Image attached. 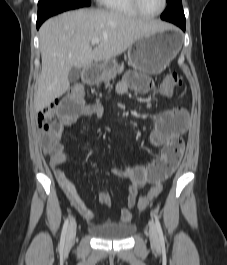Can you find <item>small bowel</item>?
<instances>
[{
    "instance_id": "small-bowel-1",
    "label": "small bowel",
    "mask_w": 227,
    "mask_h": 265,
    "mask_svg": "<svg viewBox=\"0 0 227 265\" xmlns=\"http://www.w3.org/2000/svg\"><path fill=\"white\" fill-rule=\"evenodd\" d=\"M145 72H128L117 84L116 92L120 95L129 90L138 93H147L152 88V82ZM84 91H67V96H62L57 113L60 116L59 123L51 126L50 136L52 143L48 147H43L45 153L50 158V165L54 172L56 181L63 190L72 206L88 221L94 219V213L85 204L77 192L75 185L69 180L60 169V165L67 159L64 146L60 143L64 128L72 126L79 119L85 116H100L103 113L102 105L86 104L83 99ZM188 122L187 112L182 108H172L161 112L155 119L153 129L150 133V143L161 149L158 158L146 165H135L128 168H114L112 174L120 179L128 181V194L126 206L119 211L120 223L126 224L131 221V209L136 204L138 191L147 184H157L166 178L173 170H168L161 166L162 157L168 152L179 151L182 153L183 144L181 135L184 133ZM98 201L101 205L110 206L111 197L107 191L98 194Z\"/></svg>"
}]
</instances>
